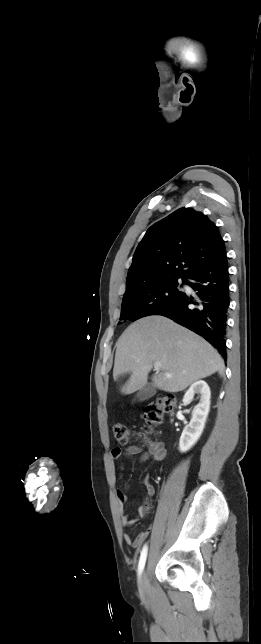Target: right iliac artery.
Masks as SVG:
<instances>
[{
	"label": "right iliac artery",
	"mask_w": 261,
	"mask_h": 644,
	"mask_svg": "<svg viewBox=\"0 0 261 644\" xmlns=\"http://www.w3.org/2000/svg\"><path fill=\"white\" fill-rule=\"evenodd\" d=\"M147 550H148L147 545H144V547H143V549L141 551L140 559H139V565H138V573H139V575L142 573V571L144 569V566H145L146 557H147Z\"/></svg>",
	"instance_id": "1"
}]
</instances>
